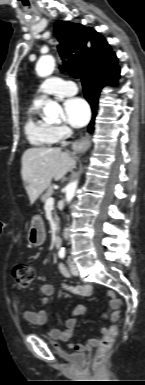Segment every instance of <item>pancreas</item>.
<instances>
[{
    "instance_id": "obj_1",
    "label": "pancreas",
    "mask_w": 145,
    "mask_h": 385,
    "mask_svg": "<svg viewBox=\"0 0 145 385\" xmlns=\"http://www.w3.org/2000/svg\"><path fill=\"white\" fill-rule=\"evenodd\" d=\"M52 194H53V188L49 187L47 189L46 193L43 194L42 197H41L42 202L46 203L47 199L50 198ZM55 218H56V215H55Z\"/></svg>"
}]
</instances>
